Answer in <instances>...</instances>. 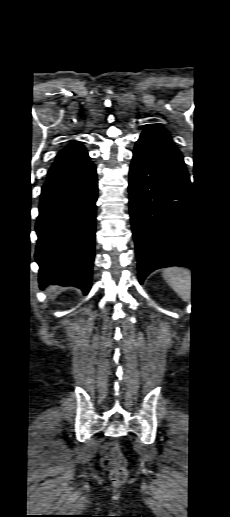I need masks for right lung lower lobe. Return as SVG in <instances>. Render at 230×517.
I'll use <instances>...</instances> for the list:
<instances>
[{"label": "right lung lower lobe", "instance_id": "98d812e1", "mask_svg": "<svg viewBox=\"0 0 230 517\" xmlns=\"http://www.w3.org/2000/svg\"><path fill=\"white\" fill-rule=\"evenodd\" d=\"M96 168L92 162L42 187L36 223L39 283L75 286L87 294L94 261Z\"/></svg>", "mask_w": 230, "mask_h": 517}]
</instances>
